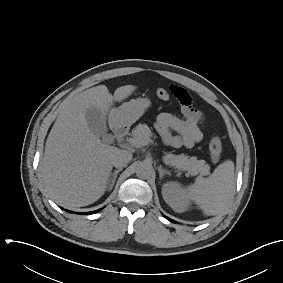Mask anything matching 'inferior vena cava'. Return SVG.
<instances>
[{"mask_svg":"<svg viewBox=\"0 0 283 283\" xmlns=\"http://www.w3.org/2000/svg\"><path fill=\"white\" fill-rule=\"evenodd\" d=\"M132 153L126 150H118L116 154L113 156L112 164L120 169L125 167L129 161L132 159Z\"/></svg>","mask_w":283,"mask_h":283,"instance_id":"1","label":"inferior vena cava"}]
</instances>
